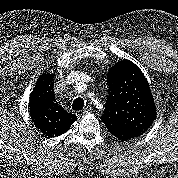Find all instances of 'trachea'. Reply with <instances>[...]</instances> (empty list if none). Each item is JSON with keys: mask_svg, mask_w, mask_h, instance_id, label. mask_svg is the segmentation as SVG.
<instances>
[{"mask_svg": "<svg viewBox=\"0 0 178 178\" xmlns=\"http://www.w3.org/2000/svg\"><path fill=\"white\" fill-rule=\"evenodd\" d=\"M84 107V100L82 98H76L74 101H73V104H72V109L74 111H78V110H82Z\"/></svg>", "mask_w": 178, "mask_h": 178, "instance_id": "trachea-1", "label": "trachea"}]
</instances>
